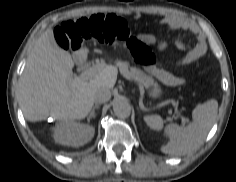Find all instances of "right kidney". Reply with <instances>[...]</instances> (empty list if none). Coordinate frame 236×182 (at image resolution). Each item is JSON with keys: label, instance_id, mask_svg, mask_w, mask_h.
Returning a JSON list of instances; mask_svg holds the SVG:
<instances>
[{"label": "right kidney", "instance_id": "right-kidney-1", "mask_svg": "<svg viewBox=\"0 0 236 182\" xmlns=\"http://www.w3.org/2000/svg\"><path fill=\"white\" fill-rule=\"evenodd\" d=\"M94 127L77 122H62L54 128V140L62 145L78 147L94 136Z\"/></svg>", "mask_w": 236, "mask_h": 182}]
</instances>
